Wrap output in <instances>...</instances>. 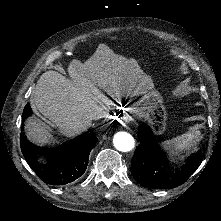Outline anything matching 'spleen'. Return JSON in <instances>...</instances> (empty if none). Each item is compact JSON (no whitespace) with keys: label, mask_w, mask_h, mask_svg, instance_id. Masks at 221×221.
I'll use <instances>...</instances> for the list:
<instances>
[{"label":"spleen","mask_w":221,"mask_h":221,"mask_svg":"<svg viewBox=\"0 0 221 221\" xmlns=\"http://www.w3.org/2000/svg\"><path fill=\"white\" fill-rule=\"evenodd\" d=\"M200 141V131L188 132L171 140L164 141L162 146L164 149L174 153L191 148L194 144Z\"/></svg>","instance_id":"spleen-1"}]
</instances>
